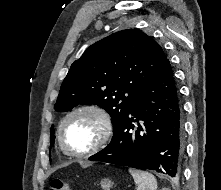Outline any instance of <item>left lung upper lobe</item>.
Listing matches in <instances>:
<instances>
[{
	"label": "left lung upper lobe",
	"mask_w": 221,
	"mask_h": 190,
	"mask_svg": "<svg viewBox=\"0 0 221 190\" xmlns=\"http://www.w3.org/2000/svg\"><path fill=\"white\" fill-rule=\"evenodd\" d=\"M166 59L161 46L137 29L112 34L88 47L71 65L54 109L65 112L79 104H96L115 126Z\"/></svg>",
	"instance_id": "obj_1"
}]
</instances>
